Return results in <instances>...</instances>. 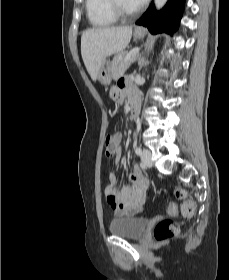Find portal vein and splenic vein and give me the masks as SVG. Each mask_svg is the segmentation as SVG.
Masks as SVG:
<instances>
[{"instance_id":"18ae733b","label":"portal vein and splenic vein","mask_w":229,"mask_h":280,"mask_svg":"<svg viewBox=\"0 0 229 280\" xmlns=\"http://www.w3.org/2000/svg\"><path fill=\"white\" fill-rule=\"evenodd\" d=\"M139 52V48L132 49L126 56L125 61H129L131 57L135 56Z\"/></svg>"}]
</instances>
